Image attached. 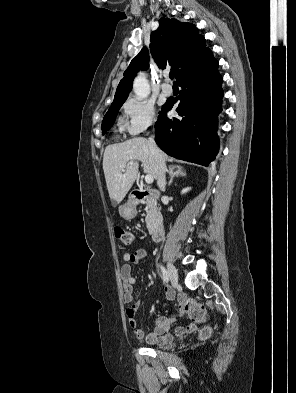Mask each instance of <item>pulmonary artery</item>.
<instances>
[{"instance_id":"obj_1","label":"pulmonary artery","mask_w":296,"mask_h":393,"mask_svg":"<svg viewBox=\"0 0 296 393\" xmlns=\"http://www.w3.org/2000/svg\"><path fill=\"white\" fill-rule=\"evenodd\" d=\"M164 80H165V83L162 85V92H163L165 95H171L172 92H173V88H172V86L169 84V76L166 75L165 78H164Z\"/></svg>"}]
</instances>
